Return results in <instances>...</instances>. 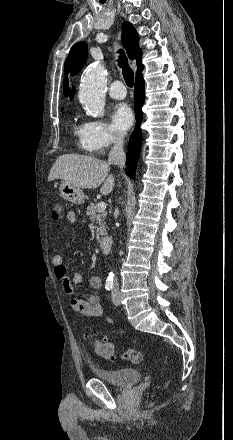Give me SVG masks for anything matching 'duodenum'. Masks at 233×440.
<instances>
[{
  "instance_id": "obj_1",
  "label": "duodenum",
  "mask_w": 233,
  "mask_h": 440,
  "mask_svg": "<svg viewBox=\"0 0 233 440\" xmlns=\"http://www.w3.org/2000/svg\"><path fill=\"white\" fill-rule=\"evenodd\" d=\"M112 240L109 237L101 238L99 240V247L102 252H108L110 250Z\"/></svg>"
}]
</instances>
